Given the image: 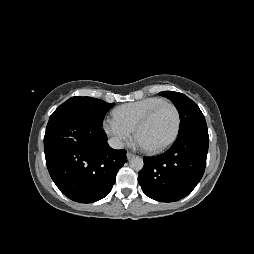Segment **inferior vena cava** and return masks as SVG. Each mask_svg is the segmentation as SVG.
I'll return each mask as SVG.
<instances>
[{
    "instance_id": "602c4592",
    "label": "inferior vena cava",
    "mask_w": 254,
    "mask_h": 254,
    "mask_svg": "<svg viewBox=\"0 0 254 254\" xmlns=\"http://www.w3.org/2000/svg\"><path fill=\"white\" fill-rule=\"evenodd\" d=\"M108 144L113 149H122L124 147V143L117 138L109 139Z\"/></svg>"
}]
</instances>
